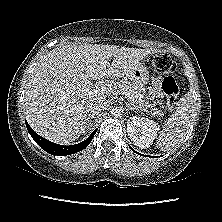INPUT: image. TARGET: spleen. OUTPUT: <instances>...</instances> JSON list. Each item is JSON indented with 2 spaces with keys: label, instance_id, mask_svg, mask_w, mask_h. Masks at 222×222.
Masks as SVG:
<instances>
[{
  "label": "spleen",
  "instance_id": "obj_1",
  "mask_svg": "<svg viewBox=\"0 0 222 222\" xmlns=\"http://www.w3.org/2000/svg\"><path fill=\"white\" fill-rule=\"evenodd\" d=\"M194 115L193 95L191 92H187L176 103V111L164 124L158 137L157 147H160L162 151H170L179 146L187 136Z\"/></svg>",
  "mask_w": 222,
  "mask_h": 222
}]
</instances>
